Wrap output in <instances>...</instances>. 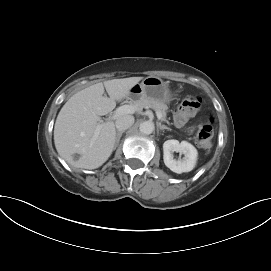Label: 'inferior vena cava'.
I'll return each mask as SVG.
<instances>
[{
  "mask_svg": "<svg viewBox=\"0 0 271 271\" xmlns=\"http://www.w3.org/2000/svg\"><path fill=\"white\" fill-rule=\"evenodd\" d=\"M134 124V117L131 115H124L116 120V128L120 131H125Z\"/></svg>",
  "mask_w": 271,
  "mask_h": 271,
  "instance_id": "602c4592",
  "label": "inferior vena cava"
}]
</instances>
